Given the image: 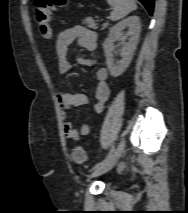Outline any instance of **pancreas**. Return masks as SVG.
Returning <instances> with one entry per match:
<instances>
[{"instance_id": "cf45deb5", "label": "pancreas", "mask_w": 188, "mask_h": 213, "mask_svg": "<svg viewBox=\"0 0 188 213\" xmlns=\"http://www.w3.org/2000/svg\"><path fill=\"white\" fill-rule=\"evenodd\" d=\"M82 24L86 25L91 29H97V24L95 23V20H93L91 17H87L86 19H84Z\"/></svg>"}]
</instances>
